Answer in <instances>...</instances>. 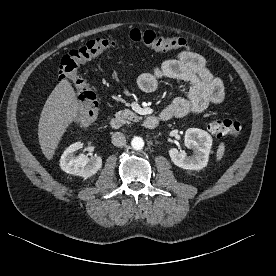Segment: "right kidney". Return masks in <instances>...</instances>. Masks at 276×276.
Segmentation results:
<instances>
[{
	"label": "right kidney",
	"mask_w": 276,
	"mask_h": 276,
	"mask_svg": "<svg viewBox=\"0 0 276 276\" xmlns=\"http://www.w3.org/2000/svg\"><path fill=\"white\" fill-rule=\"evenodd\" d=\"M82 147L83 143L75 142L66 148L60 159V167L68 174L88 178L101 168L102 159L97 155L90 158L84 155L75 156L74 153Z\"/></svg>",
	"instance_id": "1"
}]
</instances>
